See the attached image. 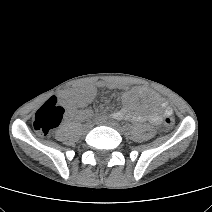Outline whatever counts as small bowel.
<instances>
[{
  "mask_svg": "<svg viewBox=\"0 0 212 212\" xmlns=\"http://www.w3.org/2000/svg\"><path fill=\"white\" fill-rule=\"evenodd\" d=\"M108 88L111 90L122 89L121 100L123 107L112 114L117 120L129 119L135 122L149 121L152 124H159L162 115H171L172 109L158 94L153 91L139 89H125L114 82L98 81L93 84H84L64 92L61 95V102L65 106V117L68 120H83L91 115V111L85 109L96 96L99 89ZM148 98L160 109L148 110L141 103L140 99Z\"/></svg>",
  "mask_w": 212,
  "mask_h": 212,
  "instance_id": "1",
  "label": "small bowel"
}]
</instances>
